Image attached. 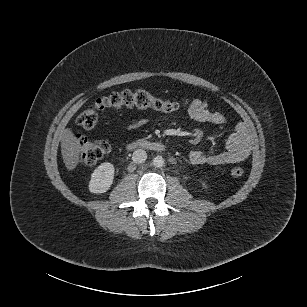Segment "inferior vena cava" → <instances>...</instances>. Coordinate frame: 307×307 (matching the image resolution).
<instances>
[{"label": "inferior vena cava", "mask_w": 307, "mask_h": 307, "mask_svg": "<svg viewBox=\"0 0 307 307\" xmlns=\"http://www.w3.org/2000/svg\"><path fill=\"white\" fill-rule=\"evenodd\" d=\"M147 159V153L143 149H137L133 152L132 160L134 163H143Z\"/></svg>", "instance_id": "obj_1"}]
</instances>
